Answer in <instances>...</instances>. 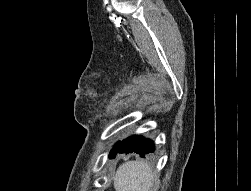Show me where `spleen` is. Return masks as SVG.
I'll list each match as a JSON object with an SVG mask.
<instances>
[{"label": "spleen", "instance_id": "spleen-1", "mask_svg": "<svg viewBox=\"0 0 251 191\" xmlns=\"http://www.w3.org/2000/svg\"><path fill=\"white\" fill-rule=\"evenodd\" d=\"M156 177L145 161H124L117 167L113 179L115 191H150Z\"/></svg>", "mask_w": 251, "mask_h": 191}]
</instances>
